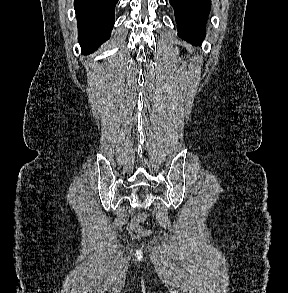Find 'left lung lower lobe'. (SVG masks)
I'll use <instances>...</instances> for the list:
<instances>
[{"label":"left lung lower lobe","instance_id":"0a47b994","mask_svg":"<svg viewBox=\"0 0 288 293\" xmlns=\"http://www.w3.org/2000/svg\"><path fill=\"white\" fill-rule=\"evenodd\" d=\"M174 8L178 35L193 45L201 44L211 0H169Z\"/></svg>","mask_w":288,"mask_h":293}]
</instances>
